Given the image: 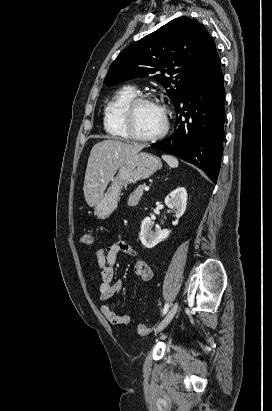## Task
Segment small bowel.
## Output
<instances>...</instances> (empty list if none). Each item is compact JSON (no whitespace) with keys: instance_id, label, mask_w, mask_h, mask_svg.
Returning <instances> with one entry per match:
<instances>
[{"instance_id":"1","label":"small bowel","mask_w":272,"mask_h":411,"mask_svg":"<svg viewBox=\"0 0 272 411\" xmlns=\"http://www.w3.org/2000/svg\"><path fill=\"white\" fill-rule=\"evenodd\" d=\"M120 253L137 257V252L128 245L121 237L115 239L108 247H99L95 250L94 256L97 261L101 282L99 285L100 310L105 319L112 325H128L131 317L127 313L117 314L106 302L115 294H120L123 289L122 281H114V265ZM135 275L144 282L150 281L153 271L148 262L137 258L134 264ZM119 304V300H117Z\"/></svg>"}]
</instances>
